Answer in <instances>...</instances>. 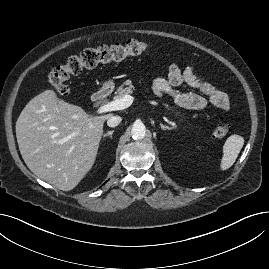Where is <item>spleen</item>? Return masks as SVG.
Segmentation results:
<instances>
[{"label": "spleen", "mask_w": 269, "mask_h": 269, "mask_svg": "<svg viewBox=\"0 0 269 269\" xmlns=\"http://www.w3.org/2000/svg\"><path fill=\"white\" fill-rule=\"evenodd\" d=\"M243 145L244 138L240 135L233 134L227 138L223 146V156L220 164L222 171L229 169L234 164Z\"/></svg>", "instance_id": "spleen-1"}]
</instances>
